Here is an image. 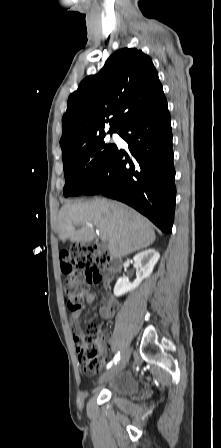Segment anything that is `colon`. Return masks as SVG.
Listing matches in <instances>:
<instances>
[{"instance_id": "1", "label": "colon", "mask_w": 221, "mask_h": 448, "mask_svg": "<svg viewBox=\"0 0 221 448\" xmlns=\"http://www.w3.org/2000/svg\"><path fill=\"white\" fill-rule=\"evenodd\" d=\"M65 274L66 303L69 309L81 308L90 286L99 285L108 277L110 255L95 244H75L60 254ZM80 349L79 361L86 374L100 371L103 365V347L106 335L99 336L98 325L90 323L76 337Z\"/></svg>"}]
</instances>
